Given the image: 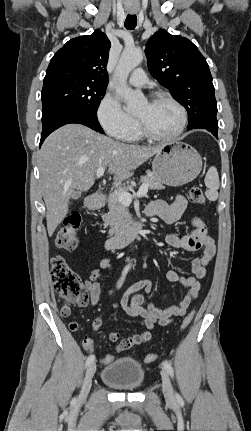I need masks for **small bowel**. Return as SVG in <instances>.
<instances>
[{
    "mask_svg": "<svg viewBox=\"0 0 251 431\" xmlns=\"http://www.w3.org/2000/svg\"><path fill=\"white\" fill-rule=\"evenodd\" d=\"M187 207V200L182 195H177L172 202L156 200L148 205L146 212L149 216H157L166 223L178 221ZM194 229L188 234L179 236L177 234H167L165 243L171 247L182 249L188 252L200 251V255L192 262L193 276H180L174 270L166 271V278L170 282L179 283L188 289L184 299L178 305H167L157 307L150 300L149 294L152 290V283L149 280L136 282L123 295L119 303H114L111 308H121L130 317L142 318L141 326L144 328L140 333L121 339L119 332H111L108 341L117 342L116 350L124 352L151 339V330L156 324L167 325L174 317L183 316L193 301L197 298L201 289L200 279L204 278L207 267L215 255V244L213 238L207 233L206 227L200 219H194ZM112 270V259L110 257L101 260L99 267L87 273L85 287L89 294L91 304L98 303L101 294L99 279L104 273ZM145 290L146 294H136L131 299L130 294L139 290ZM103 323L101 315L92 321V329L98 331ZM77 329V328H76ZM76 329L72 330L75 331Z\"/></svg>",
    "mask_w": 251,
    "mask_h": 431,
    "instance_id": "c3829d8e",
    "label": "small bowel"
}]
</instances>
